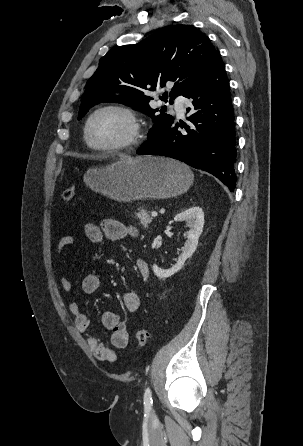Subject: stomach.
I'll return each instance as SVG.
<instances>
[{"label":"stomach","instance_id":"0dacf381","mask_svg":"<svg viewBox=\"0 0 303 446\" xmlns=\"http://www.w3.org/2000/svg\"><path fill=\"white\" fill-rule=\"evenodd\" d=\"M86 185L110 199L127 202L164 199L186 192L193 174L185 164L164 157L121 159L106 167L90 168Z\"/></svg>","mask_w":303,"mask_h":446}]
</instances>
